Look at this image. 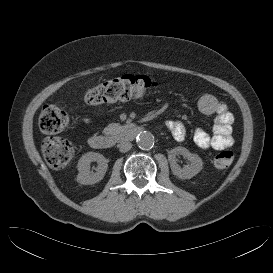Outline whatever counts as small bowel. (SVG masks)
Returning <instances> with one entry per match:
<instances>
[{
	"label": "small bowel",
	"mask_w": 273,
	"mask_h": 273,
	"mask_svg": "<svg viewBox=\"0 0 273 273\" xmlns=\"http://www.w3.org/2000/svg\"><path fill=\"white\" fill-rule=\"evenodd\" d=\"M198 109L202 114L213 115V133L198 128L194 131V142L201 149L221 150L233 146L234 138L231 135L233 115L228 106L214 95H203L198 101ZM165 127L171 132L176 141H183L186 135L185 125L179 120H168Z\"/></svg>",
	"instance_id": "1"
}]
</instances>
